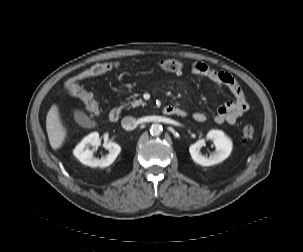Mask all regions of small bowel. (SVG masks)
<instances>
[{"label":"small bowel","instance_id":"obj_1","mask_svg":"<svg viewBox=\"0 0 303 252\" xmlns=\"http://www.w3.org/2000/svg\"><path fill=\"white\" fill-rule=\"evenodd\" d=\"M191 73L205 77L214 83L221 84L229 90L233 96V100L220 105L214 113L213 119L218 123L227 122L229 124H235L237 119L242 116L246 110V100L239 84L230 75L217 72L204 63L193 64L191 66ZM180 110L183 115L185 112L182 109ZM193 119L197 122H204L207 116L205 113L198 111L193 114Z\"/></svg>","mask_w":303,"mask_h":252}]
</instances>
